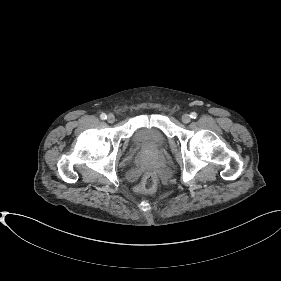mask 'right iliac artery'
<instances>
[{
    "label": "right iliac artery",
    "mask_w": 281,
    "mask_h": 281,
    "mask_svg": "<svg viewBox=\"0 0 281 281\" xmlns=\"http://www.w3.org/2000/svg\"><path fill=\"white\" fill-rule=\"evenodd\" d=\"M100 118H101L102 120H105V119H107V116H106L105 113H102V114L100 115Z\"/></svg>",
    "instance_id": "82829eb1"
}]
</instances>
